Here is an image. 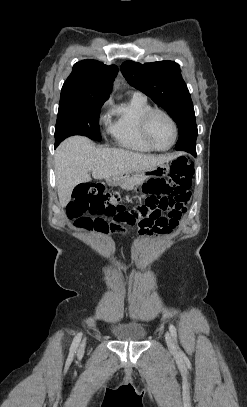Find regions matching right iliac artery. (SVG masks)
<instances>
[{"label": "right iliac artery", "instance_id": "right-iliac-artery-1", "mask_svg": "<svg viewBox=\"0 0 247 407\" xmlns=\"http://www.w3.org/2000/svg\"><path fill=\"white\" fill-rule=\"evenodd\" d=\"M81 337H82V333H78L75 336V338H74V340H73V342L71 344V347H70V354L71 355H73L76 352V349H77V347H78V345H79V343L81 341Z\"/></svg>", "mask_w": 247, "mask_h": 407}]
</instances>
